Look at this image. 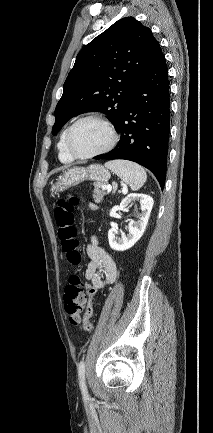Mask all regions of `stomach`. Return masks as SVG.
Returning a JSON list of instances; mask_svg holds the SVG:
<instances>
[{
	"label": "stomach",
	"instance_id": "0dacf381",
	"mask_svg": "<svg viewBox=\"0 0 213 433\" xmlns=\"http://www.w3.org/2000/svg\"><path fill=\"white\" fill-rule=\"evenodd\" d=\"M110 178V173L102 165L94 164L87 168L74 167L65 172L52 186L55 193L63 192L66 189L78 185L84 180L96 181L105 184Z\"/></svg>",
	"mask_w": 213,
	"mask_h": 433
}]
</instances>
